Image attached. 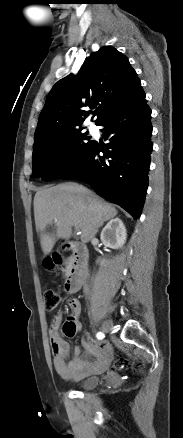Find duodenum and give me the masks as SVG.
<instances>
[{
  "instance_id": "410a0bca",
  "label": "duodenum",
  "mask_w": 183,
  "mask_h": 438,
  "mask_svg": "<svg viewBox=\"0 0 183 438\" xmlns=\"http://www.w3.org/2000/svg\"><path fill=\"white\" fill-rule=\"evenodd\" d=\"M63 248L73 253V262L67 273L65 289L68 293L75 294L80 290L87 274L88 250L79 242H67Z\"/></svg>"
}]
</instances>
